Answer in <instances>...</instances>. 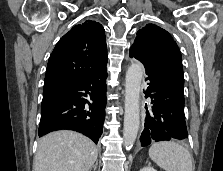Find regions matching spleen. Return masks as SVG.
Instances as JSON below:
<instances>
[{
  "mask_svg": "<svg viewBox=\"0 0 223 171\" xmlns=\"http://www.w3.org/2000/svg\"><path fill=\"white\" fill-rule=\"evenodd\" d=\"M149 157L165 171H193L189 151L173 141L154 143L149 149Z\"/></svg>",
  "mask_w": 223,
  "mask_h": 171,
  "instance_id": "3e777b00",
  "label": "spleen"
}]
</instances>
